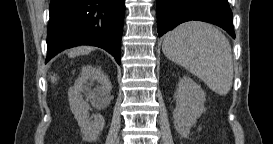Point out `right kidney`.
Returning a JSON list of instances; mask_svg holds the SVG:
<instances>
[{"label":"right kidney","instance_id":"ca27d5eb","mask_svg":"<svg viewBox=\"0 0 273 144\" xmlns=\"http://www.w3.org/2000/svg\"><path fill=\"white\" fill-rule=\"evenodd\" d=\"M97 81L101 86L92 88V83ZM111 84L107 77L102 74L101 69L86 66L82 70L81 77L75 85L70 88L69 104L81 132L87 141H95L103 130L105 120L101 114L94 115V120L90 121L88 114V104L83 100L82 93L86 92L89 98L99 100L107 99L110 95Z\"/></svg>","mask_w":273,"mask_h":144}]
</instances>
